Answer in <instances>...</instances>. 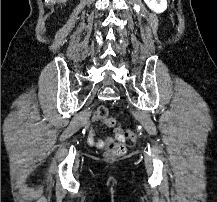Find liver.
Segmentation results:
<instances>
[{"mask_svg":"<svg viewBox=\"0 0 217 202\" xmlns=\"http://www.w3.org/2000/svg\"><path fill=\"white\" fill-rule=\"evenodd\" d=\"M51 2H53V4H54V2H62V4H63V2H67V0H51Z\"/></svg>","mask_w":217,"mask_h":202,"instance_id":"liver-1","label":"liver"}]
</instances>
